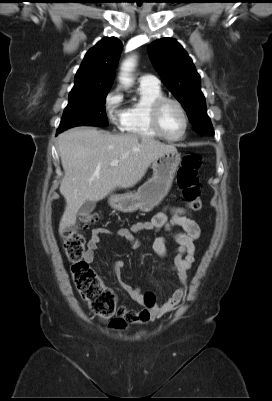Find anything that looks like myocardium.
<instances>
[{
	"label": "myocardium",
	"instance_id": "f54148a6",
	"mask_svg": "<svg viewBox=\"0 0 272 401\" xmlns=\"http://www.w3.org/2000/svg\"><path fill=\"white\" fill-rule=\"evenodd\" d=\"M168 104H174L180 110V112L182 114L183 121H184V128H183L182 134L179 137L173 138V137L168 136L164 132V130L161 126V113H162L164 107ZM150 121H151V125H152L153 129L155 130V132L161 138H163L169 142H178V141L183 140L187 134L188 127H189V119H188V115H187V112H186L184 106L177 99L169 98V97H162L153 103V105L151 107V111H150Z\"/></svg>",
	"mask_w": 272,
	"mask_h": 401
}]
</instances>
